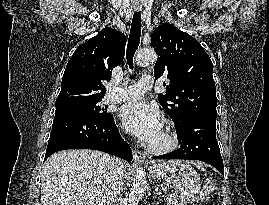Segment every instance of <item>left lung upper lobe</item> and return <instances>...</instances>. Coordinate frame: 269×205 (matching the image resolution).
Instances as JSON below:
<instances>
[{"instance_id":"obj_1","label":"left lung upper lobe","mask_w":269,"mask_h":205,"mask_svg":"<svg viewBox=\"0 0 269 205\" xmlns=\"http://www.w3.org/2000/svg\"><path fill=\"white\" fill-rule=\"evenodd\" d=\"M151 47L158 54L155 79L165 76L170 80L166 94H159V102L175 123L176 130L190 118L216 115L213 64L200 43L186 32L164 23L152 33Z\"/></svg>"}]
</instances>
